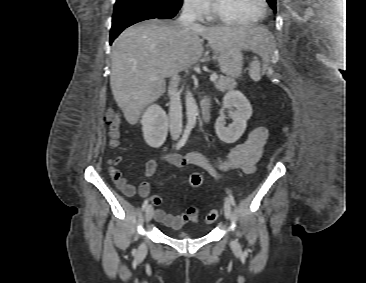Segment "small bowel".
<instances>
[{"mask_svg":"<svg viewBox=\"0 0 366 283\" xmlns=\"http://www.w3.org/2000/svg\"><path fill=\"white\" fill-rule=\"evenodd\" d=\"M268 137V131L265 127L259 126L254 128L247 136L246 140L237 144L223 156L211 160L198 151H192L185 156L180 154L167 153L161 157V160L177 167H184L188 164L200 167L211 175L221 178L225 173L232 170H242L245 173H252L259 159L262 156L263 149ZM122 158L116 157L109 161V174L116 187L127 197H132L136 188L122 176L118 165ZM158 162L150 159L145 163L144 174L149 178L156 172ZM150 184L143 181L138 186V193L142 197L150 196ZM153 204L160 205L162 198L158 195L151 196ZM154 218L172 229H180L186 218L181 215H172L163 209L154 210Z\"/></svg>","mask_w":366,"mask_h":283,"instance_id":"obj_1","label":"small bowel"}]
</instances>
